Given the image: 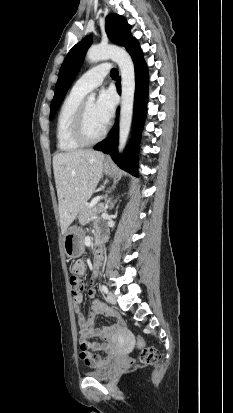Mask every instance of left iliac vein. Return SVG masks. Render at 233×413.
<instances>
[{
    "label": "left iliac vein",
    "instance_id": "left-iliac-vein-1",
    "mask_svg": "<svg viewBox=\"0 0 233 413\" xmlns=\"http://www.w3.org/2000/svg\"><path fill=\"white\" fill-rule=\"evenodd\" d=\"M107 300L111 304H116V298H115L114 294H112V293L107 294Z\"/></svg>",
    "mask_w": 233,
    "mask_h": 413
}]
</instances>
